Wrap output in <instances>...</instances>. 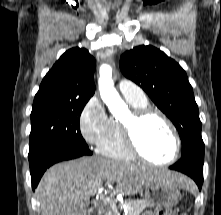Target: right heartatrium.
<instances>
[{
	"label": "right heart atrium",
	"instance_id": "right-heart-atrium-1",
	"mask_svg": "<svg viewBox=\"0 0 221 215\" xmlns=\"http://www.w3.org/2000/svg\"><path fill=\"white\" fill-rule=\"evenodd\" d=\"M110 118L100 100L92 97L85 104L79 118L83 139L90 145L100 144L108 134Z\"/></svg>",
	"mask_w": 221,
	"mask_h": 215
}]
</instances>
